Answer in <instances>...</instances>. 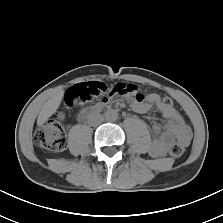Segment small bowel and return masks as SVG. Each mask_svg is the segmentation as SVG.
Instances as JSON below:
<instances>
[{
	"label": "small bowel",
	"mask_w": 223,
	"mask_h": 223,
	"mask_svg": "<svg viewBox=\"0 0 223 223\" xmlns=\"http://www.w3.org/2000/svg\"><path fill=\"white\" fill-rule=\"evenodd\" d=\"M128 101L131 108L140 114L147 113L151 106H156L166 121L163 126L159 124H154L152 126L154 139L149 147V154L152 157L157 158L164 156L169 145L174 141H179L184 146L189 144L192 137L189 126L185 123L181 114L173 106L165 107L163 105L162 98L159 95L150 94L144 100H138L131 97L128 99ZM109 103L110 99L103 98L94 107H104Z\"/></svg>",
	"instance_id": "obj_1"
}]
</instances>
